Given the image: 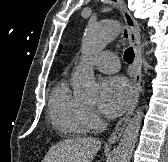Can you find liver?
Listing matches in <instances>:
<instances>
[{
	"instance_id": "6515ba94",
	"label": "liver",
	"mask_w": 168,
	"mask_h": 162,
	"mask_svg": "<svg viewBox=\"0 0 168 162\" xmlns=\"http://www.w3.org/2000/svg\"><path fill=\"white\" fill-rule=\"evenodd\" d=\"M100 148L98 138L67 139L52 146L42 162H91Z\"/></svg>"
}]
</instances>
